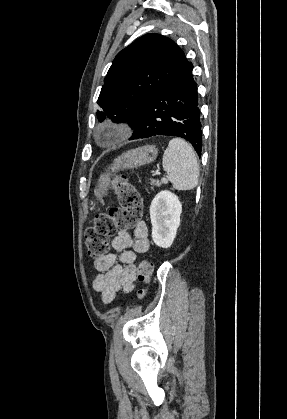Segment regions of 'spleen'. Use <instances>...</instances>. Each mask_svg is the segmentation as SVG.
<instances>
[{
  "instance_id": "obj_1",
  "label": "spleen",
  "mask_w": 287,
  "mask_h": 419,
  "mask_svg": "<svg viewBox=\"0 0 287 419\" xmlns=\"http://www.w3.org/2000/svg\"><path fill=\"white\" fill-rule=\"evenodd\" d=\"M163 169L176 190H192L198 184L199 165L193 148L181 138H173L162 159Z\"/></svg>"
}]
</instances>
